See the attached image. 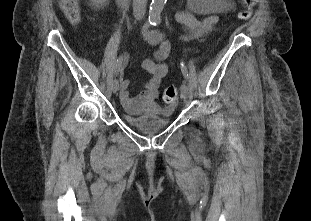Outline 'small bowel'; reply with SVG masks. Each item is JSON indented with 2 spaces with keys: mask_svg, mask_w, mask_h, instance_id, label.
Instances as JSON below:
<instances>
[{
  "mask_svg": "<svg viewBox=\"0 0 311 221\" xmlns=\"http://www.w3.org/2000/svg\"><path fill=\"white\" fill-rule=\"evenodd\" d=\"M175 19L178 23L184 25L188 31L189 39H198L212 30L218 22V17L215 15L206 16L202 19L197 18L190 11H181L176 14ZM145 41L153 46H156L154 59H146L142 63V67L150 74V80L144 85L143 90L135 97L129 94L130 82L127 79L121 81V99L131 106L138 102H152L159 96L160 85L162 79L166 76L169 70L165 60L171 54L170 42L157 31H147L144 33Z\"/></svg>",
  "mask_w": 311,
  "mask_h": 221,
  "instance_id": "small-bowel-1",
  "label": "small bowel"
}]
</instances>
